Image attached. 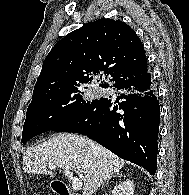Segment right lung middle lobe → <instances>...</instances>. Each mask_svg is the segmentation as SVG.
I'll list each match as a JSON object with an SVG mask.
<instances>
[{"label": "right lung middle lobe", "instance_id": "1", "mask_svg": "<svg viewBox=\"0 0 189 195\" xmlns=\"http://www.w3.org/2000/svg\"><path fill=\"white\" fill-rule=\"evenodd\" d=\"M96 100L87 99L84 88L74 86L31 101L26 113L22 143L38 134L53 130Z\"/></svg>", "mask_w": 189, "mask_h": 195}]
</instances>
